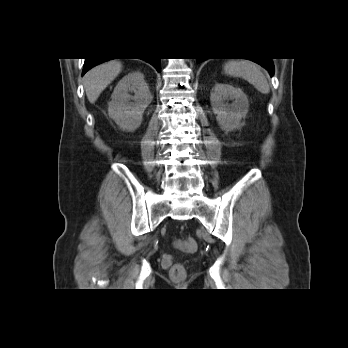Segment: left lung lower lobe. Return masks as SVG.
Returning a JSON list of instances; mask_svg holds the SVG:
<instances>
[{
	"instance_id": "1",
	"label": "left lung lower lobe",
	"mask_w": 348,
	"mask_h": 348,
	"mask_svg": "<svg viewBox=\"0 0 348 348\" xmlns=\"http://www.w3.org/2000/svg\"><path fill=\"white\" fill-rule=\"evenodd\" d=\"M203 60L204 59H197V62L200 63ZM250 60H252V61L262 65L263 67H265L270 72V75L273 76V74H274V65H273L272 59H258V60L250 59Z\"/></svg>"
}]
</instances>
